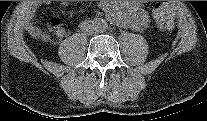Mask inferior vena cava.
Segmentation results:
<instances>
[{
    "mask_svg": "<svg viewBox=\"0 0 207 121\" xmlns=\"http://www.w3.org/2000/svg\"><path fill=\"white\" fill-rule=\"evenodd\" d=\"M96 28L94 27V25H93V27H91L90 28V30L88 29V28H86V31L89 33V34H91V33H93V30H95Z\"/></svg>",
    "mask_w": 207,
    "mask_h": 121,
    "instance_id": "obj_1",
    "label": "inferior vena cava"
}]
</instances>
